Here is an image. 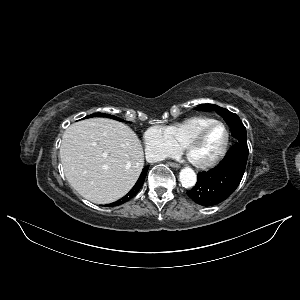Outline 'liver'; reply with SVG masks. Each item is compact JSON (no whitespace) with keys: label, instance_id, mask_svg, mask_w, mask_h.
<instances>
[{"label":"liver","instance_id":"liver-1","mask_svg":"<svg viewBox=\"0 0 300 300\" xmlns=\"http://www.w3.org/2000/svg\"><path fill=\"white\" fill-rule=\"evenodd\" d=\"M60 159L70 185L96 204L126 195L144 166L143 148L135 132L108 118L70 125L62 137Z\"/></svg>","mask_w":300,"mask_h":300}]
</instances>
